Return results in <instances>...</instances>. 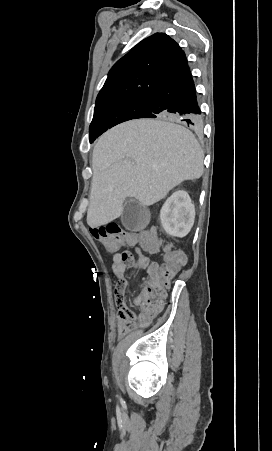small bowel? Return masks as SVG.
<instances>
[{
    "label": "small bowel",
    "instance_id": "small-bowel-1",
    "mask_svg": "<svg viewBox=\"0 0 272 451\" xmlns=\"http://www.w3.org/2000/svg\"><path fill=\"white\" fill-rule=\"evenodd\" d=\"M135 252H138L139 256H146L145 254L142 253V250L140 249V247H135ZM144 251L148 252V249H143ZM117 282L114 288V292L116 295V303H117V307H118V311H117V315H116V326H117V330L118 332L121 334V311H132L126 304L125 302V294H126V289L128 286V281L125 277V274H114ZM139 299H134L133 303L134 304H138ZM146 316V313H140L138 315V319L142 320L144 317Z\"/></svg>",
    "mask_w": 272,
    "mask_h": 451
}]
</instances>
